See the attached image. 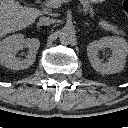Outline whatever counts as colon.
Segmentation results:
<instances>
[{
  "instance_id": "obj_1",
  "label": "colon",
  "mask_w": 128,
  "mask_h": 128,
  "mask_svg": "<svg viewBox=\"0 0 128 128\" xmlns=\"http://www.w3.org/2000/svg\"><path fill=\"white\" fill-rule=\"evenodd\" d=\"M123 10L126 13V15L128 16V0H125L123 3Z\"/></svg>"
}]
</instances>
